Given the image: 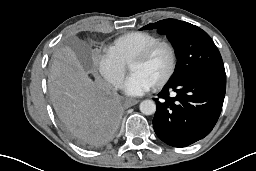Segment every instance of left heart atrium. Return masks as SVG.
Wrapping results in <instances>:
<instances>
[{"label": "left heart atrium", "instance_id": "left-heart-atrium-1", "mask_svg": "<svg viewBox=\"0 0 256 171\" xmlns=\"http://www.w3.org/2000/svg\"><path fill=\"white\" fill-rule=\"evenodd\" d=\"M154 84L139 73L130 75L123 84V91L129 96H141L151 90Z\"/></svg>", "mask_w": 256, "mask_h": 171}]
</instances>
